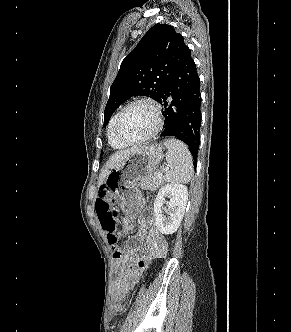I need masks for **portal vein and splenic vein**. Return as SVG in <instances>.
I'll use <instances>...</instances> for the list:
<instances>
[{
	"label": "portal vein and splenic vein",
	"instance_id": "obj_1",
	"mask_svg": "<svg viewBox=\"0 0 291 332\" xmlns=\"http://www.w3.org/2000/svg\"><path fill=\"white\" fill-rule=\"evenodd\" d=\"M162 175H163L162 170H160L156 173L157 178L162 177Z\"/></svg>",
	"mask_w": 291,
	"mask_h": 332
}]
</instances>
